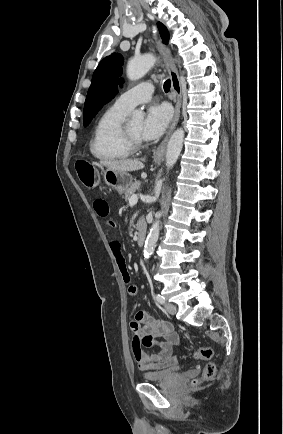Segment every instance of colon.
I'll list each match as a JSON object with an SVG mask.
<instances>
[{
	"label": "colon",
	"instance_id": "obj_1",
	"mask_svg": "<svg viewBox=\"0 0 283 434\" xmlns=\"http://www.w3.org/2000/svg\"><path fill=\"white\" fill-rule=\"evenodd\" d=\"M76 171L79 180L87 188H95L98 185V173L95 167L88 162H77ZM212 349L204 346L194 352V357L199 360L207 361L212 357ZM216 373V367L213 363H208L204 368L202 379H211Z\"/></svg>",
	"mask_w": 283,
	"mask_h": 434
}]
</instances>
